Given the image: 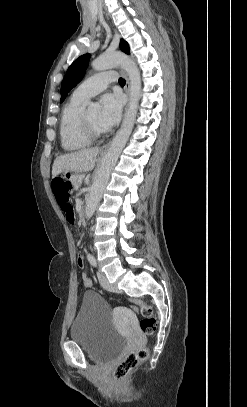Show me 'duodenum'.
<instances>
[{
	"label": "duodenum",
	"mask_w": 247,
	"mask_h": 407,
	"mask_svg": "<svg viewBox=\"0 0 247 407\" xmlns=\"http://www.w3.org/2000/svg\"><path fill=\"white\" fill-rule=\"evenodd\" d=\"M85 215H86V208H85V206H82V207L79 209V218H80L81 220H83V219L85 218Z\"/></svg>",
	"instance_id": "1"
}]
</instances>
